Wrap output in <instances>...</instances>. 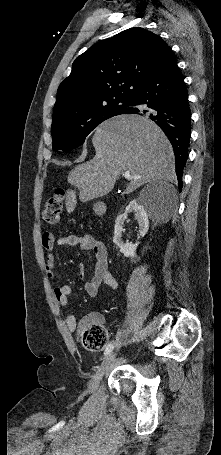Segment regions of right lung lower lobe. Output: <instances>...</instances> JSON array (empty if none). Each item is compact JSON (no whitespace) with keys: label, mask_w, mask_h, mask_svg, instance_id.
Listing matches in <instances>:
<instances>
[{"label":"right lung lower lobe","mask_w":221,"mask_h":455,"mask_svg":"<svg viewBox=\"0 0 221 455\" xmlns=\"http://www.w3.org/2000/svg\"><path fill=\"white\" fill-rule=\"evenodd\" d=\"M130 105L141 106L128 107L125 113L149 117L167 135L174 150L181 190L191 136V111L184 78L172 50L137 88Z\"/></svg>","instance_id":"obj_1"}]
</instances>
